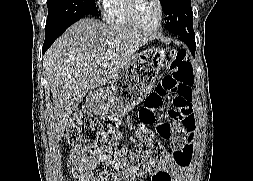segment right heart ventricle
Here are the masks:
<instances>
[{
    "label": "right heart ventricle",
    "instance_id": "obj_1",
    "mask_svg": "<svg viewBox=\"0 0 253 181\" xmlns=\"http://www.w3.org/2000/svg\"><path fill=\"white\" fill-rule=\"evenodd\" d=\"M104 20L117 27H133L127 12L126 0H104L102 4Z\"/></svg>",
    "mask_w": 253,
    "mask_h": 181
}]
</instances>
